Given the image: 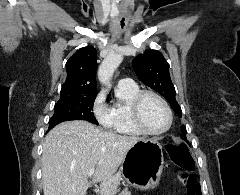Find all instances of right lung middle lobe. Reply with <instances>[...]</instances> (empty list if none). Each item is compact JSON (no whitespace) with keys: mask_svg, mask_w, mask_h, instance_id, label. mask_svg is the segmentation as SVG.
Masks as SVG:
<instances>
[{"mask_svg":"<svg viewBox=\"0 0 240 195\" xmlns=\"http://www.w3.org/2000/svg\"><path fill=\"white\" fill-rule=\"evenodd\" d=\"M95 98L96 96L61 97L50 119L48 131L57 124L70 120H86L98 125L92 112Z\"/></svg>","mask_w":240,"mask_h":195,"instance_id":"1","label":"right lung middle lobe"}]
</instances>
